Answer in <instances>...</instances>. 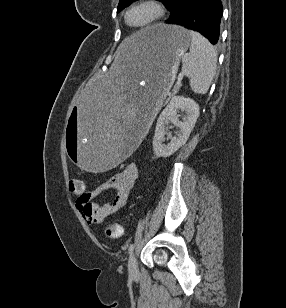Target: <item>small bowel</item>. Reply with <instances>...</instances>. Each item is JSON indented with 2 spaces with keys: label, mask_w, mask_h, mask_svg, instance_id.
Here are the masks:
<instances>
[{
  "label": "small bowel",
  "mask_w": 286,
  "mask_h": 308,
  "mask_svg": "<svg viewBox=\"0 0 286 308\" xmlns=\"http://www.w3.org/2000/svg\"><path fill=\"white\" fill-rule=\"evenodd\" d=\"M138 175L137 164L129 163L95 189L87 191L85 184H83L81 192H72L75 196L76 208L84 221L89 225H99L121 210L127 204L130 191ZM109 189L115 190V194L110 201L103 204L94 201L97 196Z\"/></svg>",
  "instance_id": "small-bowel-1"
}]
</instances>
